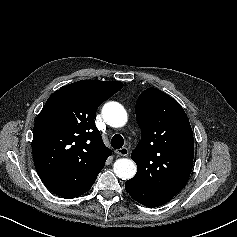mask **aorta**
I'll return each mask as SVG.
<instances>
[{"label":"aorta","mask_w":237,"mask_h":237,"mask_svg":"<svg viewBox=\"0 0 237 237\" xmlns=\"http://www.w3.org/2000/svg\"><path fill=\"white\" fill-rule=\"evenodd\" d=\"M102 115L105 122L112 127H122L127 122V112L118 102H107L103 106ZM113 169L118 178L129 180L135 176L137 166L131 159L122 158L115 161Z\"/></svg>","instance_id":"obj_1"}]
</instances>
